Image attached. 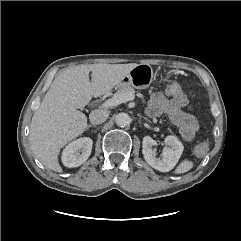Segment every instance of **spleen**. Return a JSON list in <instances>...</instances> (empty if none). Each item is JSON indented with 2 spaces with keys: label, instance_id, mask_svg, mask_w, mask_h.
Returning <instances> with one entry per match:
<instances>
[{
  "label": "spleen",
  "instance_id": "spleen-1",
  "mask_svg": "<svg viewBox=\"0 0 241 241\" xmlns=\"http://www.w3.org/2000/svg\"><path fill=\"white\" fill-rule=\"evenodd\" d=\"M193 162L190 160H184L182 161L175 169L174 173L175 174H182V173H186L189 170H191L193 168Z\"/></svg>",
  "mask_w": 241,
  "mask_h": 241
}]
</instances>
